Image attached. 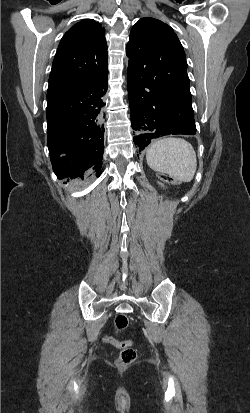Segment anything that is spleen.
Here are the masks:
<instances>
[{"label":"spleen","mask_w":250,"mask_h":413,"mask_svg":"<svg viewBox=\"0 0 250 413\" xmlns=\"http://www.w3.org/2000/svg\"><path fill=\"white\" fill-rule=\"evenodd\" d=\"M146 160L152 170L166 173L179 182H190L197 168L195 150L182 138L157 140L148 149Z\"/></svg>","instance_id":"3e777b00"}]
</instances>
